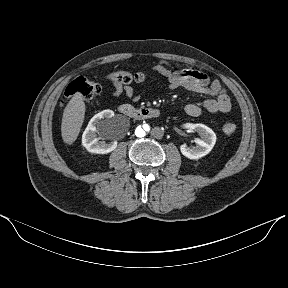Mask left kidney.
<instances>
[{"label": "left kidney", "mask_w": 288, "mask_h": 288, "mask_svg": "<svg viewBox=\"0 0 288 288\" xmlns=\"http://www.w3.org/2000/svg\"><path fill=\"white\" fill-rule=\"evenodd\" d=\"M185 128L190 131L199 133L201 139L195 140L196 146L188 147L186 144L181 145V153L189 159H199L207 155L216 143V134L212 129L204 124L187 123Z\"/></svg>", "instance_id": "5707ae66"}]
</instances>
